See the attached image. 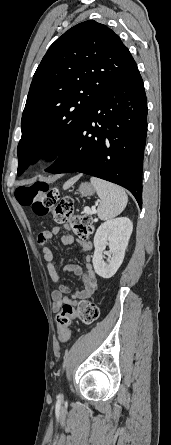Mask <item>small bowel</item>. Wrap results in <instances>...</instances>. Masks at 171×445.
Returning a JSON list of instances; mask_svg holds the SVG:
<instances>
[{
  "mask_svg": "<svg viewBox=\"0 0 171 445\" xmlns=\"http://www.w3.org/2000/svg\"><path fill=\"white\" fill-rule=\"evenodd\" d=\"M61 232V228L58 226L52 227L50 230L41 233L38 237V241L40 244H44L46 242H50L53 238L59 235ZM74 237L71 234H64L61 237V242L64 245H70L74 242ZM83 251H88L91 248V245L87 242L80 241ZM43 258L47 264V270L52 281L58 286L57 289L53 290L51 293V298L53 302V310L54 312H59L65 307L75 308L78 301L82 299L90 298L97 289V278L96 274L93 271L91 264V256L86 254L84 259L86 263V268L84 269L80 265L77 264H68L65 266L64 271L67 273H73L77 275L83 286L82 290L71 293L70 289L62 282L56 268L54 265V255L51 249L48 247H43L42 249ZM58 333L60 335L61 329L58 327ZM66 340L70 338L71 332L69 328L66 329Z\"/></svg>",
  "mask_w": 171,
  "mask_h": 445,
  "instance_id": "c3829d8e",
  "label": "small bowel"
}]
</instances>
